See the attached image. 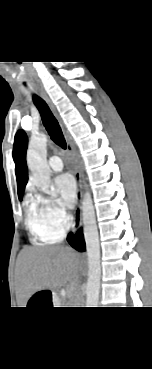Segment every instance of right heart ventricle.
I'll return each instance as SVG.
<instances>
[{
	"label": "right heart ventricle",
	"instance_id": "obj_1",
	"mask_svg": "<svg viewBox=\"0 0 152 369\" xmlns=\"http://www.w3.org/2000/svg\"><path fill=\"white\" fill-rule=\"evenodd\" d=\"M25 222L32 240L36 244L54 241L62 235L51 232L37 205L31 198L27 201Z\"/></svg>",
	"mask_w": 152,
	"mask_h": 369
}]
</instances>
